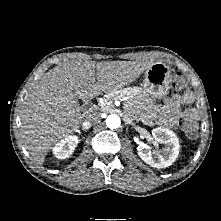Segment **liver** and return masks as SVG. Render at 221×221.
<instances>
[{
	"instance_id": "obj_1",
	"label": "liver",
	"mask_w": 221,
	"mask_h": 221,
	"mask_svg": "<svg viewBox=\"0 0 221 221\" xmlns=\"http://www.w3.org/2000/svg\"><path fill=\"white\" fill-rule=\"evenodd\" d=\"M152 64L71 60L45 73L25 99L20 115L21 138L33 160L42 165L58 141L80 128L84 115L78 99L129 85Z\"/></svg>"
}]
</instances>
